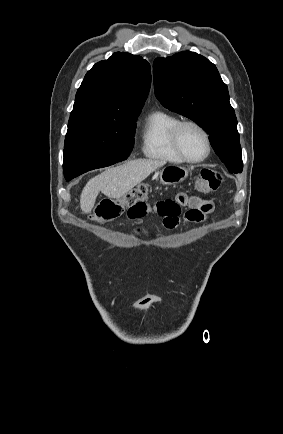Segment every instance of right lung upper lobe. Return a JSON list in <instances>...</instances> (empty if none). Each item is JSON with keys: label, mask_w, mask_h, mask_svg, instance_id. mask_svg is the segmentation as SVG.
Returning a JSON list of instances; mask_svg holds the SVG:
<instances>
[{"label": "right lung upper lobe", "mask_w": 283, "mask_h": 434, "mask_svg": "<svg viewBox=\"0 0 283 434\" xmlns=\"http://www.w3.org/2000/svg\"><path fill=\"white\" fill-rule=\"evenodd\" d=\"M151 84L150 64L142 57L116 52L87 72L69 121L121 120L140 114Z\"/></svg>", "instance_id": "cb5924a9"}]
</instances>
